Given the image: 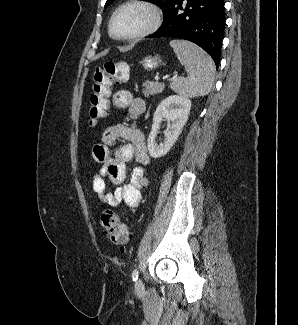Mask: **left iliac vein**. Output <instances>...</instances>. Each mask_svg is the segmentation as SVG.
<instances>
[{
	"label": "left iliac vein",
	"mask_w": 298,
	"mask_h": 325,
	"mask_svg": "<svg viewBox=\"0 0 298 325\" xmlns=\"http://www.w3.org/2000/svg\"><path fill=\"white\" fill-rule=\"evenodd\" d=\"M135 289H136L138 292H140V291H142V290L144 289V285H143L141 279H138V280L136 281V283H135Z\"/></svg>",
	"instance_id": "obj_1"
}]
</instances>
